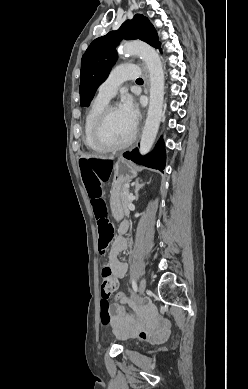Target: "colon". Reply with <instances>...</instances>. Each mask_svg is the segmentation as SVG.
Here are the masks:
<instances>
[{
  "label": "colon",
  "instance_id": "1",
  "mask_svg": "<svg viewBox=\"0 0 248 389\" xmlns=\"http://www.w3.org/2000/svg\"><path fill=\"white\" fill-rule=\"evenodd\" d=\"M80 166L83 170V181L88 192L92 210L97 219L99 232L98 252L104 255L114 236L112 223L107 217V209L103 192V182H108L113 162L111 157H80ZM118 281L114 277L111 267L105 264L101 270V309L100 320L103 326L111 324L109 297L117 289ZM114 302L129 299L127 293L119 288L114 293Z\"/></svg>",
  "mask_w": 248,
  "mask_h": 389
}]
</instances>
